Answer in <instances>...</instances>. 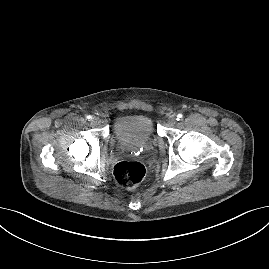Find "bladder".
Returning a JSON list of instances; mask_svg holds the SVG:
<instances>
[{
  "label": "bladder",
  "instance_id": "bladder-1",
  "mask_svg": "<svg viewBox=\"0 0 269 269\" xmlns=\"http://www.w3.org/2000/svg\"><path fill=\"white\" fill-rule=\"evenodd\" d=\"M112 135L124 146H147L154 140L155 125L145 114L122 115L115 119Z\"/></svg>",
  "mask_w": 269,
  "mask_h": 269
}]
</instances>
